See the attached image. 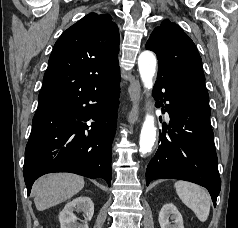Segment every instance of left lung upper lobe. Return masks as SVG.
<instances>
[{
	"label": "left lung upper lobe",
	"instance_id": "5c2ea615",
	"mask_svg": "<svg viewBox=\"0 0 238 228\" xmlns=\"http://www.w3.org/2000/svg\"><path fill=\"white\" fill-rule=\"evenodd\" d=\"M146 49L154 51L158 58L156 82H171L209 105L201 57L177 24L164 20L150 35Z\"/></svg>",
	"mask_w": 238,
	"mask_h": 228
}]
</instances>
